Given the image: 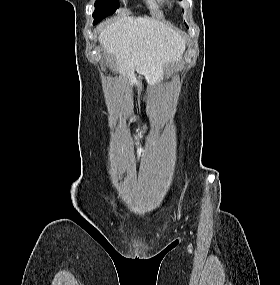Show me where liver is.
I'll list each match as a JSON object with an SVG mask.
<instances>
[{
  "label": "liver",
  "mask_w": 280,
  "mask_h": 285,
  "mask_svg": "<svg viewBox=\"0 0 280 285\" xmlns=\"http://www.w3.org/2000/svg\"><path fill=\"white\" fill-rule=\"evenodd\" d=\"M98 40L107 56L116 60V71L139 91L142 83L135 70L148 83L160 82L165 68L181 59L186 46L177 31L147 16L124 17L104 28Z\"/></svg>",
  "instance_id": "obj_1"
}]
</instances>
